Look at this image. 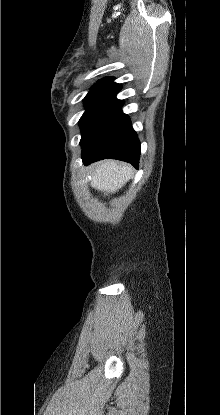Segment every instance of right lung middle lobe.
Instances as JSON below:
<instances>
[{
    "label": "right lung middle lobe",
    "mask_w": 220,
    "mask_h": 415,
    "mask_svg": "<svg viewBox=\"0 0 220 415\" xmlns=\"http://www.w3.org/2000/svg\"><path fill=\"white\" fill-rule=\"evenodd\" d=\"M121 85L112 80H101L94 84L84 98L86 111L79 120L82 151H88L99 135L121 109L123 101L116 98Z\"/></svg>",
    "instance_id": "right-lung-middle-lobe-1"
}]
</instances>
